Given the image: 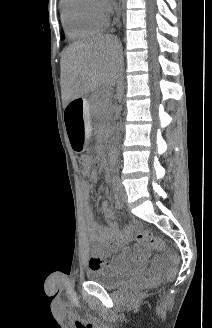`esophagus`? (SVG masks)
Returning a JSON list of instances; mask_svg holds the SVG:
<instances>
[{
    "label": "esophagus",
    "mask_w": 212,
    "mask_h": 328,
    "mask_svg": "<svg viewBox=\"0 0 212 328\" xmlns=\"http://www.w3.org/2000/svg\"><path fill=\"white\" fill-rule=\"evenodd\" d=\"M125 0H120L119 3H120V6L124 3Z\"/></svg>",
    "instance_id": "esophagus-1"
}]
</instances>
